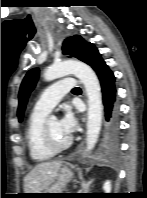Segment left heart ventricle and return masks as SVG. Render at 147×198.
I'll list each match as a JSON object with an SVG mask.
<instances>
[{"instance_id": "left-heart-ventricle-1", "label": "left heart ventricle", "mask_w": 147, "mask_h": 198, "mask_svg": "<svg viewBox=\"0 0 147 198\" xmlns=\"http://www.w3.org/2000/svg\"><path fill=\"white\" fill-rule=\"evenodd\" d=\"M47 124L50 136L56 145H64L69 140V138L61 131L57 120L49 121Z\"/></svg>"}]
</instances>
